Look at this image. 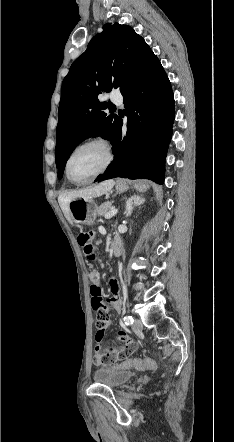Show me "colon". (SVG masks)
<instances>
[{
    "mask_svg": "<svg viewBox=\"0 0 234 442\" xmlns=\"http://www.w3.org/2000/svg\"><path fill=\"white\" fill-rule=\"evenodd\" d=\"M93 234L91 232H80L77 236V241L80 246L83 247L84 255L88 260H95L97 255V249L95 245L91 243ZM90 280H91V304L92 308L96 314H107V302L104 299L102 290L100 286L97 285L99 282L100 276L98 271L92 270L90 272ZM97 329V328H96ZM129 341V340H127ZM126 342V341H125ZM133 342V341H132ZM120 348V347H118ZM121 368L124 371L132 370L133 368L137 369H155L156 359L151 356H143L141 359H134L130 357L129 359L121 361Z\"/></svg>",
    "mask_w": 234,
    "mask_h": 442,
    "instance_id": "colon-1",
    "label": "colon"
}]
</instances>
